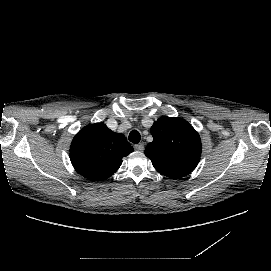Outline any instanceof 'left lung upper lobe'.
Masks as SVG:
<instances>
[{
	"instance_id": "obj_1",
	"label": "left lung upper lobe",
	"mask_w": 271,
	"mask_h": 271,
	"mask_svg": "<svg viewBox=\"0 0 271 271\" xmlns=\"http://www.w3.org/2000/svg\"><path fill=\"white\" fill-rule=\"evenodd\" d=\"M153 141L145 155L155 169L170 178L179 179L197 166L201 156L199 134L181 118H159L151 127Z\"/></svg>"
}]
</instances>
